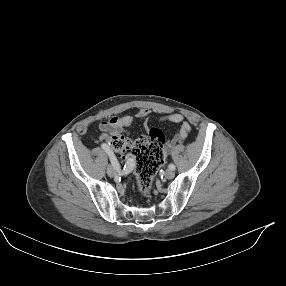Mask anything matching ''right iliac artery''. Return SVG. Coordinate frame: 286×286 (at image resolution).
Returning a JSON list of instances; mask_svg holds the SVG:
<instances>
[{
    "instance_id": "82829eb1",
    "label": "right iliac artery",
    "mask_w": 286,
    "mask_h": 286,
    "mask_svg": "<svg viewBox=\"0 0 286 286\" xmlns=\"http://www.w3.org/2000/svg\"><path fill=\"white\" fill-rule=\"evenodd\" d=\"M102 149L105 150V152L109 155L110 157V161L111 164L113 165V167H115L116 169L119 168V163L118 160L116 159L115 155L113 154V152L111 151L110 147L106 144V143H102L101 144ZM133 165V160L129 159L127 161V164L124 166V169H128L130 166Z\"/></svg>"
}]
</instances>
